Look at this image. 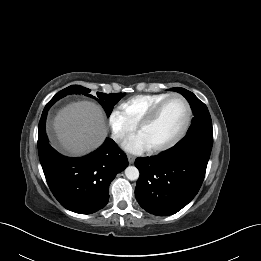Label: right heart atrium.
I'll list each match as a JSON object with an SVG mask.
<instances>
[{
    "instance_id": "d8ad5b80",
    "label": "right heart atrium",
    "mask_w": 261,
    "mask_h": 261,
    "mask_svg": "<svg viewBox=\"0 0 261 261\" xmlns=\"http://www.w3.org/2000/svg\"><path fill=\"white\" fill-rule=\"evenodd\" d=\"M108 122L111 129L112 137L115 141L121 142L135 130L126 115L119 108H113L108 116Z\"/></svg>"
}]
</instances>
